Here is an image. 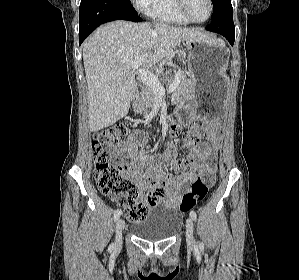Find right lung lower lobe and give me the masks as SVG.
I'll use <instances>...</instances> for the list:
<instances>
[{"label":"right lung lower lobe","instance_id":"obj_1","mask_svg":"<svg viewBox=\"0 0 299 280\" xmlns=\"http://www.w3.org/2000/svg\"><path fill=\"white\" fill-rule=\"evenodd\" d=\"M79 42L99 25L122 19L141 22L138 13L121 0H81L79 8Z\"/></svg>","mask_w":299,"mask_h":280}]
</instances>
